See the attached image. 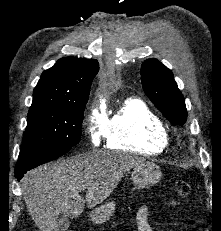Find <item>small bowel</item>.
<instances>
[{"mask_svg": "<svg viewBox=\"0 0 221 231\" xmlns=\"http://www.w3.org/2000/svg\"><path fill=\"white\" fill-rule=\"evenodd\" d=\"M150 208L143 206L137 213V227L138 231H153L149 224Z\"/></svg>", "mask_w": 221, "mask_h": 231, "instance_id": "1", "label": "small bowel"}]
</instances>
